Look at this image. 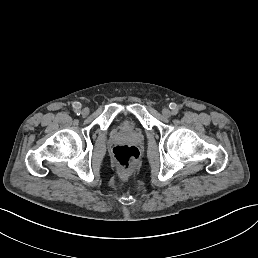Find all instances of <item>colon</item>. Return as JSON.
Segmentation results:
<instances>
[{"label": "colon", "instance_id": "obj_1", "mask_svg": "<svg viewBox=\"0 0 258 258\" xmlns=\"http://www.w3.org/2000/svg\"><path fill=\"white\" fill-rule=\"evenodd\" d=\"M112 158L119 168L127 171L138 163L140 152L135 146L118 145L112 150Z\"/></svg>", "mask_w": 258, "mask_h": 258}]
</instances>
